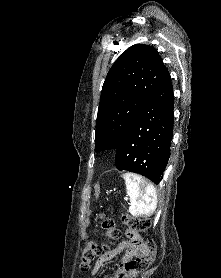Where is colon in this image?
Returning <instances> with one entry per match:
<instances>
[{
    "label": "colon",
    "mask_w": 221,
    "mask_h": 278,
    "mask_svg": "<svg viewBox=\"0 0 221 278\" xmlns=\"http://www.w3.org/2000/svg\"><path fill=\"white\" fill-rule=\"evenodd\" d=\"M100 219L101 227L105 231L106 238L108 240L118 239L120 237V232L116 228L115 222L111 218L103 215L100 216ZM122 220L127 225L128 229L135 232L145 231L150 227V221L148 219L135 218L128 214H123ZM105 249H107V245L99 246L94 241H88L81 251V270L87 271L95 255ZM155 254L156 244L150 239L143 244L141 255L125 264L124 270L120 272V277L128 278L144 272L154 262Z\"/></svg>",
    "instance_id": "5ec220e1"
}]
</instances>
